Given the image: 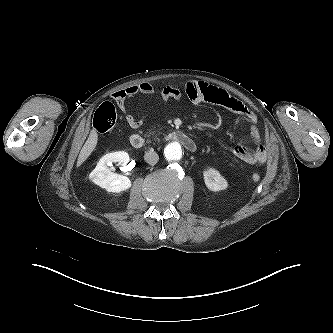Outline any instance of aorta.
I'll return each instance as SVG.
<instances>
[{"label": "aorta", "mask_w": 333, "mask_h": 333, "mask_svg": "<svg viewBox=\"0 0 333 333\" xmlns=\"http://www.w3.org/2000/svg\"><path fill=\"white\" fill-rule=\"evenodd\" d=\"M164 153L166 159L177 161L182 158V147L178 142H172L166 146Z\"/></svg>", "instance_id": "762f6f07"}]
</instances>
